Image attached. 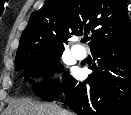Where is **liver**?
<instances>
[{"label": "liver", "instance_id": "obj_1", "mask_svg": "<svg viewBox=\"0 0 131 115\" xmlns=\"http://www.w3.org/2000/svg\"><path fill=\"white\" fill-rule=\"evenodd\" d=\"M65 113V114H63ZM4 115H72L55 104H40L30 99L12 101Z\"/></svg>", "mask_w": 131, "mask_h": 115}]
</instances>
